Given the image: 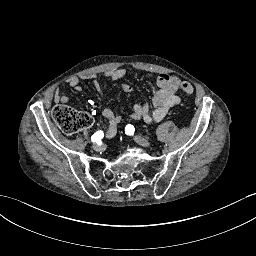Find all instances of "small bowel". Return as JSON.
Listing matches in <instances>:
<instances>
[{
    "mask_svg": "<svg viewBox=\"0 0 256 256\" xmlns=\"http://www.w3.org/2000/svg\"><path fill=\"white\" fill-rule=\"evenodd\" d=\"M126 76V70L118 68L114 70H108L104 73V77L112 80H121ZM80 80H91L94 88L102 94V88L97 80L96 75L89 74L81 77H74L68 81L69 87L76 91H82ZM157 88L152 93V106L148 103H138L133 107V111L130 114V118L135 120H143L146 123L160 122L168 113V110L180 103V97L176 94L179 86V79L176 76L168 73H162L157 78ZM125 92H130L133 87L129 84H123L121 86ZM69 96L62 95L58 91L54 95V102L58 105H64L69 101ZM102 117L107 121L108 127L104 131L106 138H111L116 135L118 124L121 121V117L116 115L111 109H104L102 111Z\"/></svg>",
    "mask_w": 256,
    "mask_h": 256,
    "instance_id": "obj_1",
    "label": "small bowel"
}]
</instances>
